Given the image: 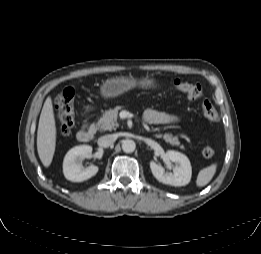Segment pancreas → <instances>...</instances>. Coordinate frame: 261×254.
I'll return each mask as SVG.
<instances>
[{
    "label": "pancreas",
    "instance_id": "1",
    "mask_svg": "<svg viewBox=\"0 0 261 254\" xmlns=\"http://www.w3.org/2000/svg\"><path fill=\"white\" fill-rule=\"evenodd\" d=\"M122 109L121 106H117L114 109H109L103 116L99 119L96 124V128L100 131L116 129L119 124L117 123L118 111ZM156 138H163L167 143L171 145L179 146L181 149H185L184 145L180 144L177 136H173L171 133L156 134Z\"/></svg>",
    "mask_w": 261,
    "mask_h": 254
}]
</instances>
